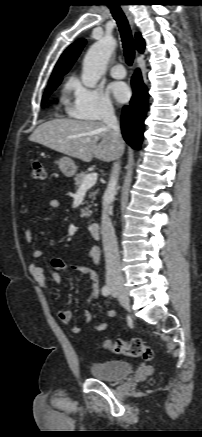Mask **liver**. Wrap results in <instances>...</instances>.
<instances>
[{"instance_id":"1","label":"liver","mask_w":202,"mask_h":437,"mask_svg":"<svg viewBox=\"0 0 202 437\" xmlns=\"http://www.w3.org/2000/svg\"><path fill=\"white\" fill-rule=\"evenodd\" d=\"M29 140L83 162H110L117 154L111 131L100 121L54 119L39 125Z\"/></svg>"}]
</instances>
